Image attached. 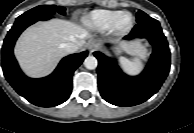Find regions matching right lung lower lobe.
I'll return each instance as SVG.
<instances>
[{
	"instance_id": "obj_1",
	"label": "right lung lower lobe",
	"mask_w": 194,
	"mask_h": 133,
	"mask_svg": "<svg viewBox=\"0 0 194 133\" xmlns=\"http://www.w3.org/2000/svg\"><path fill=\"white\" fill-rule=\"evenodd\" d=\"M52 16L34 19H16L2 46V69L4 76L15 91L34 105L53 107L65 102L72 91V75L88 52L69 55L61 60L55 71L40 79L25 76L13 54L14 44L22 31L37 22Z\"/></svg>"
}]
</instances>
